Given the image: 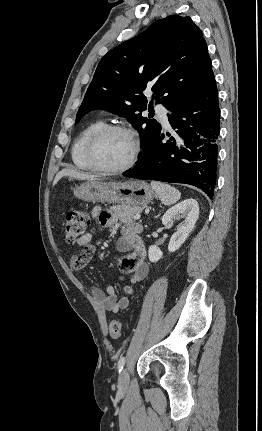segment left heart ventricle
I'll return each instance as SVG.
<instances>
[{
	"label": "left heart ventricle",
	"mask_w": 262,
	"mask_h": 431,
	"mask_svg": "<svg viewBox=\"0 0 262 431\" xmlns=\"http://www.w3.org/2000/svg\"><path fill=\"white\" fill-rule=\"evenodd\" d=\"M133 144L122 132H112L101 138L96 148L98 161L109 168L124 165L130 158Z\"/></svg>",
	"instance_id": "obj_1"
}]
</instances>
